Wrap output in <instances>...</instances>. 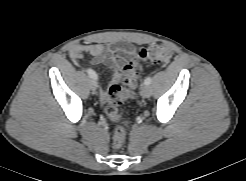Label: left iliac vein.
<instances>
[{
	"label": "left iliac vein",
	"instance_id": "obj_1",
	"mask_svg": "<svg viewBox=\"0 0 246 181\" xmlns=\"http://www.w3.org/2000/svg\"><path fill=\"white\" fill-rule=\"evenodd\" d=\"M140 94L144 98L150 97L151 96V88H150V86H148L146 84L142 85L141 88H140Z\"/></svg>",
	"mask_w": 246,
	"mask_h": 181
}]
</instances>
